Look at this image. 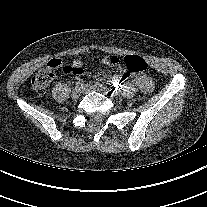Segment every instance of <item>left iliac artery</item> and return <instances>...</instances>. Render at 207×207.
<instances>
[{"label": "left iliac artery", "instance_id": "1", "mask_svg": "<svg viewBox=\"0 0 207 207\" xmlns=\"http://www.w3.org/2000/svg\"><path fill=\"white\" fill-rule=\"evenodd\" d=\"M95 86H96V87H100V88H104V89L110 91V93L113 94V95H118V94H119V91H118V89H117V88H118L117 86H116V89H114V88L111 87V86L104 87L102 84H100V83H98V82L95 83Z\"/></svg>", "mask_w": 207, "mask_h": 207}]
</instances>
